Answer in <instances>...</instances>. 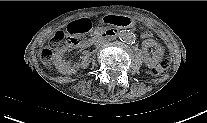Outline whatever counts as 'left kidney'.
<instances>
[{
	"label": "left kidney",
	"mask_w": 207,
	"mask_h": 123,
	"mask_svg": "<svg viewBox=\"0 0 207 123\" xmlns=\"http://www.w3.org/2000/svg\"><path fill=\"white\" fill-rule=\"evenodd\" d=\"M156 48H157L158 50L161 49L160 45H156ZM158 60H159V56L154 57V58H150V57L146 56L145 59H144V62H145L148 66H151V65L156 64V62H158Z\"/></svg>",
	"instance_id": "obj_1"
}]
</instances>
